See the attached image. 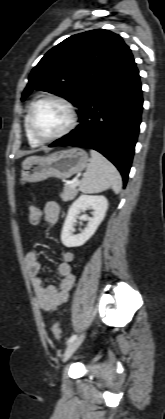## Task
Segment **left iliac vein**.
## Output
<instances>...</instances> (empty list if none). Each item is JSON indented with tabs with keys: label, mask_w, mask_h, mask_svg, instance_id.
<instances>
[{
	"label": "left iliac vein",
	"mask_w": 165,
	"mask_h": 419,
	"mask_svg": "<svg viewBox=\"0 0 165 419\" xmlns=\"http://www.w3.org/2000/svg\"><path fill=\"white\" fill-rule=\"evenodd\" d=\"M85 338V335H81L80 337L76 338L72 342H70L63 354V360L67 361L73 353L78 349Z\"/></svg>",
	"instance_id": "1"
}]
</instances>
